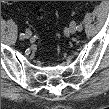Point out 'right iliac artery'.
<instances>
[{
  "instance_id": "1",
  "label": "right iliac artery",
  "mask_w": 109,
  "mask_h": 109,
  "mask_svg": "<svg viewBox=\"0 0 109 109\" xmlns=\"http://www.w3.org/2000/svg\"><path fill=\"white\" fill-rule=\"evenodd\" d=\"M20 38H21V39H24V38H25V34H24V33H21V34H20Z\"/></svg>"
}]
</instances>
